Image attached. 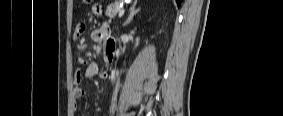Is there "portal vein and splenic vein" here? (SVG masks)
Segmentation results:
<instances>
[{
  "label": "portal vein and splenic vein",
  "instance_id": "18ae733b",
  "mask_svg": "<svg viewBox=\"0 0 283 116\" xmlns=\"http://www.w3.org/2000/svg\"><path fill=\"white\" fill-rule=\"evenodd\" d=\"M124 12H125L124 8L120 9L118 11V17H122L124 15Z\"/></svg>",
  "mask_w": 283,
  "mask_h": 116
}]
</instances>
